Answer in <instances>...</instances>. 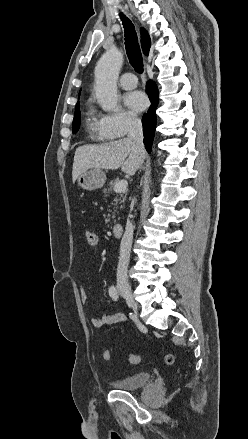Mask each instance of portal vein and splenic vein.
Segmentation results:
<instances>
[{
	"label": "portal vein and splenic vein",
	"instance_id": "1",
	"mask_svg": "<svg viewBox=\"0 0 248 439\" xmlns=\"http://www.w3.org/2000/svg\"><path fill=\"white\" fill-rule=\"evenodd\" d=\"M128 187V182L125 179L120 180L119 182H117L113 188V190L116 193H123L127 190Z\"/></svg>",
	"mask_w": 248,
	"mask_h": 439
}]
</instances>
